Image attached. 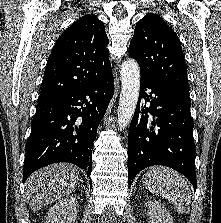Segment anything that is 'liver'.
<instances>
[{"mask_svg":"<svg viewBox=\"0 0 221 223\" xmlns=\"http://www.w3.org/2000/svg\"><path fill=\"white\" fill-rule=\"evenodd\" d=\"M79 180L77 168L68 163L53 164L36 171L25 183L29 208L40 210L71 193Z\"/></svg>","mask_w":221,"mask_h":223,"instance_id":"6515ba94","label":"liver"}]
</instances>
